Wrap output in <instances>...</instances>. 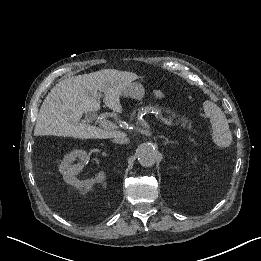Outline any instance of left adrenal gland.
Segmentation results:
<instances>
[{
    "mask_svg": "<svg viewBox=\"0 0 261 261\" xmlns=\"http://www.w3.org/2000/svg\"><path fill=\"white\" fill-rule=\"evenodd\" d=\"M160 138H163L165 140V144H168V143H173V141L169 140L167 137H165L164 135H160L159 136Z\"/></svg>",
    "mask_w": 261,
    "mask_h": 261,
    "instance_id": "a2214340",
    "label": "left adrenal gland"
}]
</instances>
